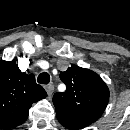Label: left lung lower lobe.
I'll return each instance as SVG.
<instances>
[{"label":"left lung lower lobe","mask_w":130,"mask_h":130,"mask_svg":"<svg viewBox=\"0 0 130 130\" xmlns=\"http://www.w3.org/2000/svg\"><path fill=\"white\" fill-rule=\"evenodd\" d=\"M56 114L59 123L68 129H82L92 124V122L86 119L71 116L60 110H56Z\"/></svg>","instance_id":"obj_1"}]
</instances>
